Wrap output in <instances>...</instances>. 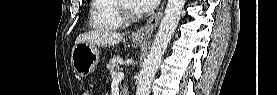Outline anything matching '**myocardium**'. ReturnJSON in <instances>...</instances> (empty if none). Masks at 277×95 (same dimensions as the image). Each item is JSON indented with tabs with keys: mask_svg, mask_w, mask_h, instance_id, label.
<instances>
[{
	"mask_svg": "<svg viewBox=\"0 0 277 95\" xmlns=\"http://www.w3.org/2000/svg\"><path fill=\"white\" fill-rule=\"evenodd\" d=\"M134 0H117L115 4V10L117 15L125 22H133L140 19L144 15L143 10L131 12L129 9V3Z\"/></svg>",
	"mask_w": 277,
	"mask_h": 95,
	"instance_id": "1",
	"label": "myocardium"
}]
</instances>
